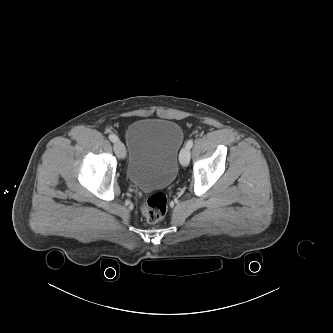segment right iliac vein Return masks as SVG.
I'll return each instance as SVG.
<instances>
[{
  "mask_svg": "<svg viewBox=\"0 0 333 333\" xmlns=\"http://www.w3.org/2000/svg\"><path fill=\"white\" fill-rule=\"evenodd\" d=\"M114 151L115 153L117 154V156L121 159H124L126 157V149H125V146L124 144L120 141V140H117L114 145Z\"/></svg>",
  "mask_w": 333,
  "mask_h": 333,
  "instance_id": "right-iliac-vein-1",
  "label": "right iliac vein"
}]
</instances>
